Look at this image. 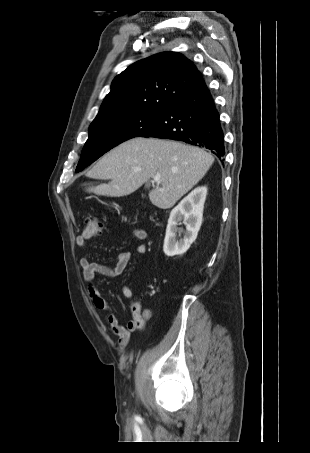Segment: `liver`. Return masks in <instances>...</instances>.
<instances>
[{
	"instance_id": "liver-1",
	"label": "liver",
	"mask_w": 310,
	"mask_h": 453,
	"mask_svg": "<svg viewBox=\"0 0 310 453\" xmlns=\"http://www.w3.org/2000/svg\"><path fill=\"white\" fill-rule=\"evenodd\" d=\"M213 162V156L198 147L136 137L113 148L97 162L87 176L110 182L88 187L86 191L110 197L127 196L160 175L149 199L156 207L168 209L203 178Z\"/></svg>"
}]
</instances>
